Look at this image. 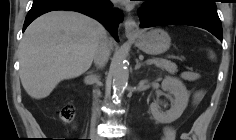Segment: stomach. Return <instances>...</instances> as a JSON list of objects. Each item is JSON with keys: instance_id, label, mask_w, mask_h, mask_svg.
Instances as JSON below:
<instances>
[{"instance_id": "stomach-1", "label": "stomach", "mask_w": 236, "mask_h": 140, "mask_svg": "<svg viewBox=\"0 0 236 140\" xmlns=\"http://www.w3.org/2000/svg\"><path fill=\"white\" fill-rule=\"evenodd\" d=\"M128 37L135 42L140 50L150 55L164 53L169 49L171 43L168 33L162 29L140 31L134 35H128Z\"/></svg>"}]
</instances>
